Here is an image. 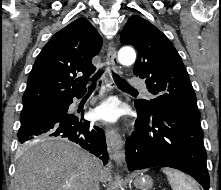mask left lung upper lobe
I'll return each mask as SVG.
<instances>
[{
  "label": "left lung upper lobe",
  "mask_w": 221,
  "mask_h": 190,
  "mask_svg": "<svg viewBox=\"0 0 221 190\" xmlns=\"http://www.w3.org/2000/svg\"><path fill=\"white\" fill-rule=\"evenodd\" d=\"M120 41L137 49L133 72L146 79L149 92L155 96L135 103L148 113L176 114L200 125L195 92L180 55L168 38L149 21L133 15L121 32Z\"/></svg>",
  "instance_id": "obj_1"
}]
</instances>
